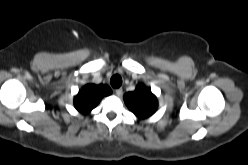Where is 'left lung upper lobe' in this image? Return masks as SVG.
Segmentation results:
<instances>
[{"label":"left lung upper lobe","instance_id":"obj_1","mask_svg":"<svg viewBox=\"0 0 248 165\" xmlns=\"http://www.w3.org/2000/svg\"><path fill=\"white\" fill-rule=\"evenodd\" d=\"M127 107L140 119L151 116L158 107V101L151 90L139 84L133 92L124 95Z\"/></svg>","mask_w":248,"mask_h":165}]
</instances>
